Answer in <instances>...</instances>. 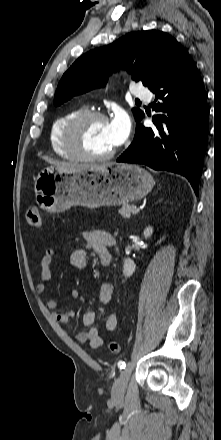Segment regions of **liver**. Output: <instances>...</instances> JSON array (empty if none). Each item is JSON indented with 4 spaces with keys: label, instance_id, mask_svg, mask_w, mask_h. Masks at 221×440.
Masks as SVG:
<instances>
[{
    "label": "liver",
    "instance_id": "1",
    "mask_svg": "<svg viewBox=\"0 0 221 440\" xmlns=\"http://www.w3.org/2000/svg\"><path fill=\"white\" fill-rule=\"evenodd\" d=\"M45 161L52 164L53 166L57 167L58 169H64L69 171H82L85 169H88L90 167H96L95 164H79V163H68V162H61V161H55L53 159H50L49 157H43Z\"/></svg>",
    "mask_w": 221,
    "mask_h": 440
}]
</instances>
